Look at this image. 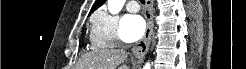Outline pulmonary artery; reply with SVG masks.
<instances>
[{"label": "pulmonary artery", "instance_id": "e3ab8cb5", "mask_svg": "<svg viewBox=\"0 0 246 69\" xmlns=\"http://www.w3.org/2000/svg\"><path fill=\"white\" fill-rule=\"evenodd\" d=\"M126 8L129 12H137L139 9L138 4L135 1H129L126 5Z\"/></svg>", "mask_w": 246, "mask_h": 69}]
</instances>
